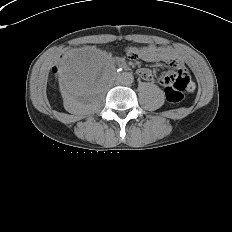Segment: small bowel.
<instances>
[{
  "mask_svg": "<svg viewBox=\"0 0 232 232\" xmlns=\"http://www.w3.org/2000/svg\"><path fill=\"white\" fill-rule=\"evenodd\" d=\"M129 51L137 53L139 57L147 62H159L169 65L175 68V75H186L187 71L184 67V63L178 52L175 48L171 46L164 45H155L150 44L146 46H142L139 49L135 50L134 48H129ZM139 76L145 81H152L153 76L148 69L141 68L138 71ZM162 84L164 85V81L162 79ZM195 88L194 83L189 79V86L187 88L188 91H193Z\"/></svg>",
  "mask_w": 232,
  "mask_h": 232,
  "instance_id": "obj_1",
  "label": "small bowel"
}]
</instances>
